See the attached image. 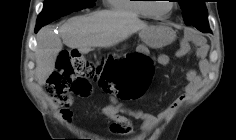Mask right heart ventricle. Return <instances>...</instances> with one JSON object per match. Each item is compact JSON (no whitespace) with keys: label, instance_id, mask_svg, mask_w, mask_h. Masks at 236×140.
Wrapping results in <instances>:
<instances>
[{"label":"right heart ventricle","instance_id":"e07e8e85","mask_svg":"<svg viewBox=\"0 0 236 140\" xmlns=\"http://www.w3.org/2000/svg\"><path fill=\"white\" fill-rule=\"evenodd\" d=\"M143 1L146 0H110L109 2L111 8L116 11L149 17L151 13L148 9V4L143 3Z\"/></svg>","mask_w":236,"mask_h":140}]
</instances>
